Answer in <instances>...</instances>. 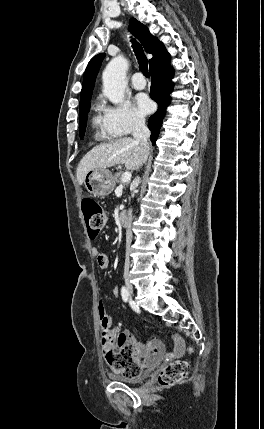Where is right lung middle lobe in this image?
<instances>
[{
	"instance_id": "dd1d6c3e",
	"label": "right lung middle lobe",
	"mask_w": 264,
	"mask_h": 429,
	"mask_svg": "<svg viewBox=\"0 0 264 429\" xmlns=\"http://www.w3.org/2000/svg\"><path fill=\"white\" fill-rule=\"evenodd\" d=\"M80 115H79V133L80 137L82 138L85 132L86 128V121H87V113L90 110V103L80 106Z\"/></svg>"
}]
</instances>
